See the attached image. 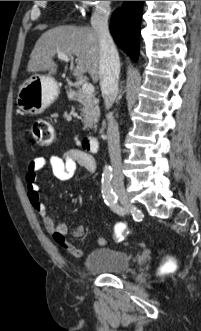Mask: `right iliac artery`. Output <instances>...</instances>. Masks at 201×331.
I'll use <instances>...</instances> for the list:
<instances>
[{"instance_id":"1","label":"right iliac artery","mask_w":201,"mask_h":331,"mask_svg":"<svg viewBox=\"0 0 201 331\" xmlns=\"http://www.w3.org/2000/svg\"><path fill=\"white\" fill-rule=\"evenodd\" d=\"M112 169L105 167L102 174V196L105 203L117 214L124 215L125 209L118 204V198L111 187Z\"/></svg>"}]
</instances>
